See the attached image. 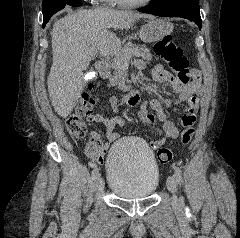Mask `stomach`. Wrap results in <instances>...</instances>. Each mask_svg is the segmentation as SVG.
Listing matches in <instances>:
<instances>
[{
	"instance_id": "stomach-1",
	"label": "stomach",
	"mask_w": 240,
	"mask_h": 238,
	"mask_svg": "<svg viewBox=\"0 0 240 238\" xmlns=\"http://www.w3.org/2000/svg\"><path fill=\"white\" fill-rule=\"evenodd\" d=\"M173 31V24L164 19H152L148 21L139 32L140 39L145 43H151L163 39Z\"/></svg>"
}]
</instances>
